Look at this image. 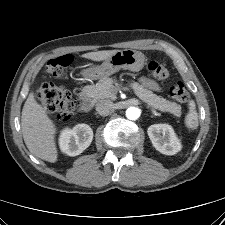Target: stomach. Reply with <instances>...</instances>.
I'll list each match as a JSON object with an SVG mask.
<instances>
[{"label": "stomach", "instance_id": "stomach-1", "mask_svg": "<svg viewBox=\"0 0 225 225\" xmlns=\"http://www.w3.org/2000/svg\"><path fill=\"white\" fill-rule=\"evenodd\" d=\"M145 63V56L133 49L118 50L101 65L86 70L87 77L99 79L108 77L120 70L139 72Z\"/></svg>", "mask_w": 225, "mask_h": 225}]
</instances>
